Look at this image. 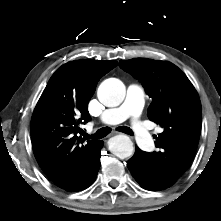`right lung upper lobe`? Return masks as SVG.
<instances>
[{"label":"right lung upper lobe","mask_w":221,"mask_h":221,"mask_svg":"<svg viewBox=\"0 0 221 221\" xmlns=\"http://www.w3.org/2000/svg\"><path fill=\"white\" fill-rule=\"evenodd\" d=\"M116 61L77 60L62 65L50 78L31 120L38 164L57 186L69 190L85 175L100 141L78 137L79 124L91 120L87 110L100 78Z\"/></svg>","instance_id":"obj_1"}]
</instances>
